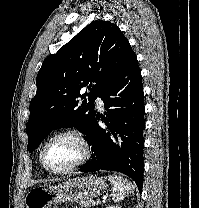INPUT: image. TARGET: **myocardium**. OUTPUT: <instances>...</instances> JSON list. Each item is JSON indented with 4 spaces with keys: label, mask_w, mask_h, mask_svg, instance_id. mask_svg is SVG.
<instances>
[{
    "label": "myocardium",
    "mask_w": 199,
    "mask_h": 208,
    "mask_svg": "<svg viewBox=\"0 0 199 208\" xmlns=\"http://www.w3.org/2000/svg\"><path fill=\"white\" fill-rule=\"evenodd\" d=\"M65 136L72 137L80 144L81 149H82V155H81L80 159L77 162H75L74 164H72L71 166L64 168V169H54L47 162L46 150H47V147L49 146V144L53 140L60 138V137H65ZM90 156H91V148H90V145H89L87 139L85 138V136L81 132L74 130V129H67V130H63V131L53 134L51 137H49L47 139V141L44 143V145L41 149V161H42L44 168L48 172L53 173V174H58V175L68 174V173H71L74 170L80 168L82 165H84L89 160Z\"/></svg>",
    "instance_id": "obj_1"
}]
</instances>
